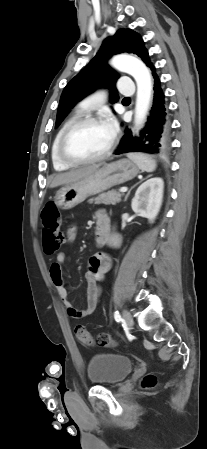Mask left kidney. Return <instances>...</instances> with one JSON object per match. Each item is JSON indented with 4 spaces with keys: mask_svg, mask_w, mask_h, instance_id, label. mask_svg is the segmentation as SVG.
Returning a JSON list of instances; mask_svg holds the SVG:
<instances>
[{
    "mask_svg": "<svg viewBox=\"0 0 207 449\" xmlns=\"http://www.w3.org/2000/svg\"><path fill=\"white\" fill-rule=\"evenodd\" d=\"M164 182L160 177L148 179L136 190L132 210L152 222L159 213L163 199Z\"/></svg>",
    "mask_w": 207,
    "mask_h": 449,
    "instance_id": "obj_1",
    "label": "left kidney"
}]
</instances>
